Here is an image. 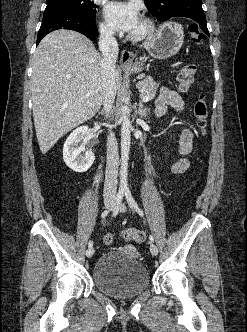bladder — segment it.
<instances>
[{
  "label": "bladder",
  "instance_id": "obj_1",
  "mask_svg": "<svg viewBox=\"0 0 247 332\" xmlns=\"http://www.w3.org/2000/svg\"><path fill=\"white\" fill-rule=\"evenodd\" d=\"M94 285L103 293L118 299L132 298L149 285V273L129 246L104 252L92 269Z\"/></svg>",
  "mask_w": 247,
  "mask_h": 332
}]
</instances>
